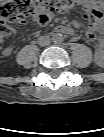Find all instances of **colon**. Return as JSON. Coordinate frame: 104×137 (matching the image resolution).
<instances>
[{"mask_svg":"<svg viewBox=\"0 0 104 137\" xmlns=\"http://www.w3.org/2000/svg\"><path fill=\"white\" fill-rule=\"evenodd\" d=\"M88 0H5L0 5V34L11 31L12 23L36 16L41 21L49 20L56 11L71 8ZM96 7L103 6V0H90Z\"/></svg>","mask_w":104,"mask_h":137,"instance_id":"colon-1","label":"colon"}]
</instances>
